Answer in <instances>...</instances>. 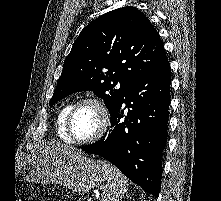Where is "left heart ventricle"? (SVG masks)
<instances>
[{
	"instance_id": "obj_1",
	"label": "left heart ventricle",
	"mask_w": 221,
	"mask_h": 201,
	"mask_svg": "<svg viewBox=\"0 0 221 201\" xmlns=\"http://www.w3.org/2000/svg\"><path fill=\"white\" fill-rule=\"evenodd\" d=\"M100 115L92 104L81 106L72 119L71 131L78 140L94 136L100 129Z\"/></svg>"
}]
</instances>
